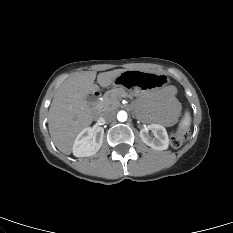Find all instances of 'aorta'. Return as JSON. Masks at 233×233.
Returning a JSON list of instances; mask_svg holds the SVG:
<instances>
[{
  "label": "aorta",
  "mask_w": 233,
  "mask_h": 233,
  "mask_svg": "<svg viewBox=\"0 0 233 233\" xmlns=\"http://www.w3.org/2000/svg\"><path fill=\"white\" fill-rule=\"evenodd\" d=\"M127 113L125 112V111H119L118 113H117V119H118V121H120V122H124V121H126L127 120Z\"/></svg>",
  "instance_id": "aorta-1"
}]
</instances>
